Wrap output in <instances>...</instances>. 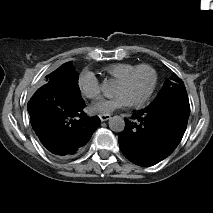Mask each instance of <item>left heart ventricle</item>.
I'll return each instance as SVG.
<instances>
[{"label": "left heart ventricle", "instance_id": "left-heart-ventricle-1", "mask_svg": "<svg viewBox=\"0 0 213 213\" xmlns=\"http://www.w3.org/2000/svg\"><path fill=\"white\" fill-rule=\"evenodd\" d=\"M150 84V76L146 72L139 73L129 84H117L115 92L122 94L126 98H135L142 95Z\"/></svg>", "mask_w": 213, "mask_h": 213}]
</instances>
